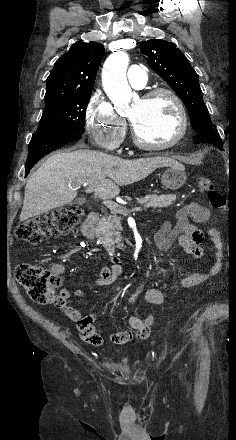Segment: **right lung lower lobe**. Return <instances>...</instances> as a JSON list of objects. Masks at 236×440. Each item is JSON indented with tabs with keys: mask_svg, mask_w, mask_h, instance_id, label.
I'll return each mask as SVG.
<instances>
[{
	"mask_svg": "<svg viewBox=\"0 0 236 440\" xmlns=\"http://www.w3.org/2000/svg\"><path fill=\"white\" fill-rule=\"evenodd\" d=\"M81 137L82 134L77 132L34 133L29 143L28 157L25 163V177L41 157L71 141L80 140Z\"/></svg>",
	"mask_w": 236,
	"mask_h": 440,
	"instance_id": "obj_1",
	"label": "right lung lower lobe"
}]
</instances>
